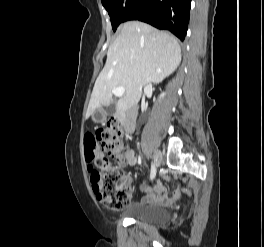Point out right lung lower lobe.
I'll list each match as a JSON object with an SVG mask.
<instances>
[{"mask_svg":"<svg viewBox=\"0 0 264 247\" xmlns=\"http://www.w3.org/2000/svg\"><path fill=\"white\" fill-rule=\"evenodd\" d=\"M191 0H134L127 9L123 22L139 20L165 29L185 39Z\"/></svg>","mask_w":264,"mask_h":247,"instance_id":"98d812e1","label":"right lung lower lobe"}]
</instances>
